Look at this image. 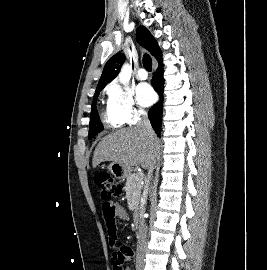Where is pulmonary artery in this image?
Wrapping results in <instances>:
<instances>
[{
  "instance_id": "1",
  "label": "pulmonary artery",
  "mask_w": 267,
  "mask_h": 270,
  "mask_svg": "<svg viewBox=\"0 0 267 270\" xmlns=\"http://www.w3.org/2000/svg\"><path fill=\"white\" fill-rule=\"evenodd\" d=\"M137 77L140 79V80H146L147 77H148V74L146 72V70L144 68H140L137 72Z\"/></svg>"
}]
</instances>
